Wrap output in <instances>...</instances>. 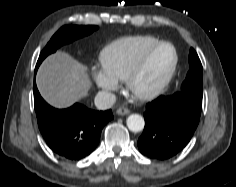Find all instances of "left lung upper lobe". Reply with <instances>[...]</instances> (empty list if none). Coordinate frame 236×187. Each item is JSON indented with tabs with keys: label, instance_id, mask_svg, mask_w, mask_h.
Instances as JSON below:
<instances>
[{
	"label": "left lung upper lobe",
	"instance_id": "5c2ea615",
	"mask_svg": "<svg viewBox=\"0 0 236 187\" xmlns=\"http://www.w3.org/2000/svg\"><path fill=\"white\" fill-rule=\"evenodd\" d=\"M189 64L190 70L178 93H183L202 102L203 69L201 61L193 48L190 49Z\"/></svg>",
	"mask_w": 236,
	"mask_h": 187
}]
</instances>
